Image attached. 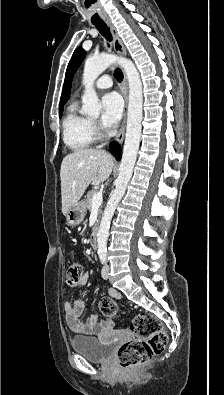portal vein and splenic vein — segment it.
<instances>
[{
    "instance_id": "1",
    "label": "portal vein and splenic vein",
    "mask_w": 224,
    "mask_h": 395,
    "mask_svg": "<svg viewBox=\"0 0 224 395\" xmlns=\"http://www.w3.org/2000/svg\"><path fill=\"white\" fill-rule=\"evenodd\" d=\"M103 202V194L102 192L96 193L92 197V207H99Z\"/></svg>"
}]
</instances>
